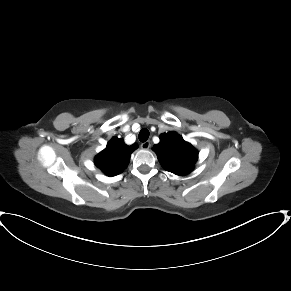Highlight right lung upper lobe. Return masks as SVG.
<instances>
[{
	"label": "right lung upper lobe",
	"mask_w": 291,
	"mask_h": 291,
	"mask_svg": "<svg viewBox=\"0 0 291 291\" xmlns=\"http://www.w3.org/2000/svg\"><path fill=\"white\" fill-rule=\"evenodd\" d=\"M137 147V144L128 146L122 139L113 137L107 147L95 157V165L107 176L118 175L127 167L130 155Z\"/></svg>",
	"instance_id": "1"
}]
</instances>
